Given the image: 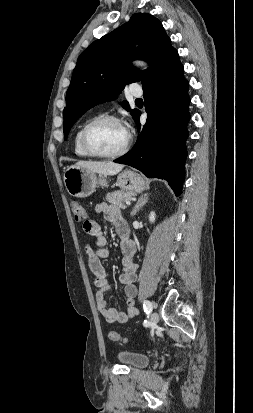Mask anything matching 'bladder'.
I'll return each instance as SVG.
<instances>
[{"label": "bladder", "mask_w": 253, "mask_h": 413, "mask_svg": "<svg viewBox=\"0 0 253 413\" xmlns=\"http://www.w3.org/2000/svg\"><path fill=\"white\" fill-rule=\"evenodd\" d=\"M117 359L131 367V368H143L149 365L151 359L147 354L121 350L117 352Z\"/></svg>", "instance_id": "1"}]
</instances>
